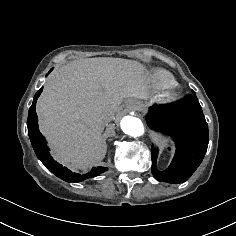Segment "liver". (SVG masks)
<instances>
[{
    "instance_id": "6515ba94",
    "label": "liver",
    "mask_w": 236,
    "mask_h": 236,
    "mask_svg": "<svg viewBox=\"0 0 236 236\" xmlns=\"http://www.w3.org/2000/svg\"><path fill=\"white\" fill-rule=\"evenodd\" d=\"M147 75L137 61L106 57L76 60L55 71L36 106L54 159L73 171L102 161L105 119H112L124 98L148 96Z\"/></svg>"
}]
</instances>
